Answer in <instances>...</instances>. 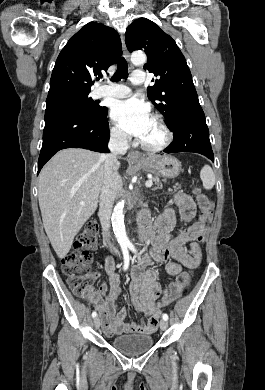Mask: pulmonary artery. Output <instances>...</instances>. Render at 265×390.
<instances>
[{
    "label": "pulmonary artery",
    "instance_id": "1",
    "mask_svg": "<svg viewBox=\"0 0 265 390\" xmlns=\"http://www.w3.org/2000/svg\"><path fill=\"white\" fill-rule=\"evenodd\" d=\"M145 81L144 73L142 71H135L131 77V83L133 85L143 84ZM131 89L122 84H108L99 87L96 90V96L98 98L113 97V98H125L129 96Z\"/></svg>",
    "mask_w": 265,
    "mask_h": 390
}]
</instances>
